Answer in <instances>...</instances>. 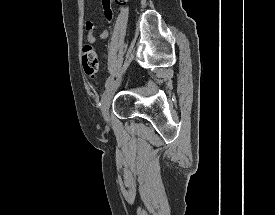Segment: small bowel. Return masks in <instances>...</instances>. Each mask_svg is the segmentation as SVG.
Segmentation results:
<instances>
[{
  "label": "small bowel",
  "instance_id": "small-bowel-1",
  "mask_svg": "<svg viewBox=\"0 0 275 215\" xmlns=\"http://www.w3.org/2000/svg\"><path fill=\"white\" fill-rule=\"evenodd\" d=\"M103 12L106 20L110 22L113 18V13L110 9V0H101ZM86 34L85 40L88 43H95L98 40H105L109 35V27L101 29L99 32L96 31V26L93 22L87 21L85 23Z\"/></svg>",
  "mask_w": 275,
  "mask_h": 215
}]
</instances>
